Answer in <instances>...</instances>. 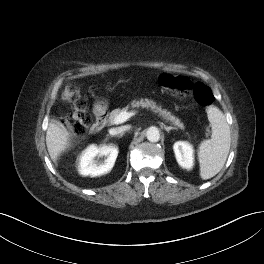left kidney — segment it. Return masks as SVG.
Returning a JSON list of instances; mask_svg holds the SVG:
<instances>
[{"mask_svg":"<svg viewBox=\"0 0 264 264\" xmlns=\"http://www.w3.org/2000/svg\"><path fill=\"white\" fill-rule=\"evenodd\" d=\"M178 164L185 169H192L194 164L193 146L185 141H178L173 145Z\"/></svg>","mask_w":264,"mask_h":264,"instance_id":"left-kidney-1","label":"left kidney"}]
</instances>
